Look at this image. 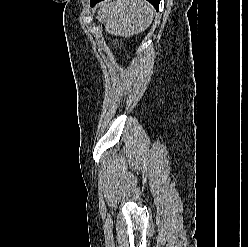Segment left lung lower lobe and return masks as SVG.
<instances>
[{
  "label": "left lung lower lobe",
  "instance_id": "left-lung-lower-lobe-1",
  "mask_svg": "<svg viewBox=\"0 0 248 247\" xmlns=\"http://www.w3.org/2000/svg\"><path fill=\"white\" fill-rule=\"evenodd\" d=\"M100 1L102 0H90V5L93 7ZM148 1L158 10L160 0H148Z\"/></svg>",
  "mask_w": 248,
  "mask_h": 247
}]
</instances>
